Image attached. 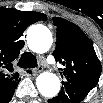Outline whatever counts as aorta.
<instances>
[{"mask_svg":"<svg viewBox=\"0 0 103 103\" xmlns=\"http://www.w3.org/2000/svg\"><path fill=\"white\" fill-rule=\"evenodd\" d=\"M53 38L50 30L41 24L33 25L27 32V44L35 53H45L52 46ZM36 85L41 95L47 98L55 97L60 91L59 78L50 72L41 73L36 79Z\"/></svg>","mask_w":103,"mask_h":103,"instance_id":"obj_1","label":"aorta"}]
</instances>
